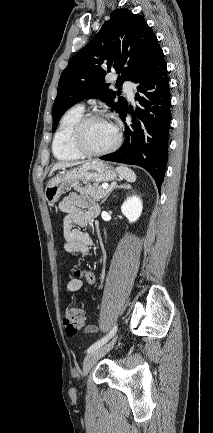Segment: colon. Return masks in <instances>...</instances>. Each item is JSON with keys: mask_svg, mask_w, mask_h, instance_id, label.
Segmentation results:
<instances>
[{"mask_svg": "<svg viewBox=\"0 0 213 433\" xmlns=\"http://www.w3.org/2000/svg\"><path fill=\"white\" fill-rule=\"evenodd\" d=\"M85 312L80 304L69 301L64 314V325L66 333L70 336L77 334L85 325Z\"/></svg>", "mask_w": 213, "mask_h": 433, "instance_id": "1", "label": "colon"}]
</instances>
